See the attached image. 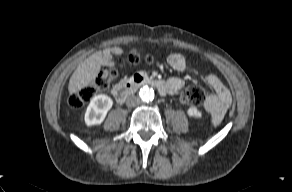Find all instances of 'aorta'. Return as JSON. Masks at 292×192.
<instances>
[{"instance_id":"obj_1","label":"aorta","mask_w":292,"mask_h":192,"mask_svg":"<svg viewBox=\"0 0 292 192\" xmlns=\"http://www.w3.org/2000/svg\"><path fill=\"white\" fill-rule=\"evenodd\" d=\"M140 99L144 102H150L154 99V90L149 86H143L139 92Z\"/></svg>"}]
</instances>
